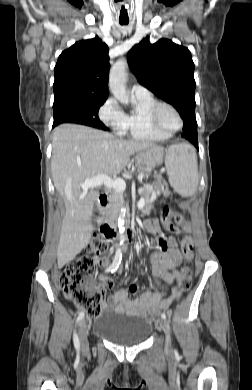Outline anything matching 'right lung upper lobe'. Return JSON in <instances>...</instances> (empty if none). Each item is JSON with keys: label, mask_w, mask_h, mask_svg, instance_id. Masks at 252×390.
I'll use <instances>...</instances> for the list:
<instances>
[{"label": "right lung upper lobe", "mask_w": 252, "mask_h": 390, "mask_svg": "<svg viewBox=\"0 0 252 390\" xmlns=\"http://www.w3.org/2000/svg\"><path fill=\"white\" fill-rule=\"evenodd\" d=\"M109 48L97 36L63 51L54 68V102L66 99L106 100Z\"/></svg>", "instance_id": "right-lung-upper-lobe-1"}]
</instances>
